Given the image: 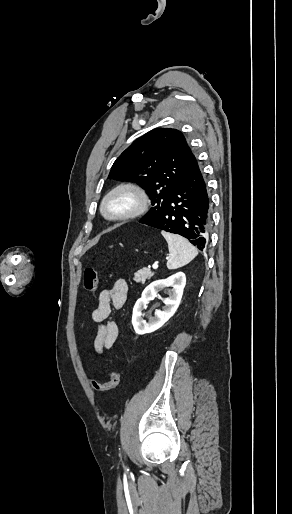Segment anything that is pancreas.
<instances>
[{
  "instance_id": "cf45deb5",
  "label": "pancreas",
  "mask_w": 292,
  "mask_h": 514,
  "mask_svg": "<svg viewBox=\"0 0 292 514\" xmlns=\"http://www.w3.org/2000/svg\"><path fill=\"white\" fill-rule=\"evenodd\" d=\"M154 276V272L148 270V268H143V270H138L136 274H134L133 280L135 282H141V284H145L146 280H150Z\"/></svg>"
}]
</instances>
